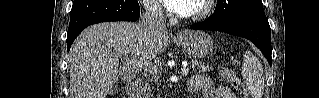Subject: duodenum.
Masks as SVG:
<instances>
[{"mask_svg":"<svg viewBox=\"0 0 319 98\" xmlns=\"http://www.w3.org/2000/svg\"><path fill=\"white\" fill-rule=\"evenodd\" d=\"M141 83L138 79L128 81L126 85V93L128 98H142L140 94Z\"/></svg>","mask_w":319,"mask_h":98,"instance_id":"obj_1","label":"duodenum"}]
</instances>
